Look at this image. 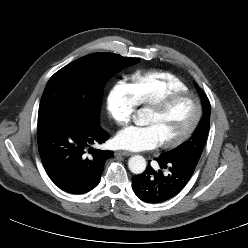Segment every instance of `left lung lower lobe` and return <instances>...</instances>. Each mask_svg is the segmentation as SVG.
Returning a JSON list of instances; mask_svg holds the SVG:
<instances>
[{
  "mask_svg": "<svg viewBox=\"0 0 248 248\" xmlns=\"http://www.w3.org/2000/svg\"><path fill=\"white\" fill-rule=\"evenodd\" d=\"M161 169L156 172L149 164L146 170L132 177V188L136 196L146 203H161L176 196L190 180L196 165L195 159L155 158Z\"/></svg>",
  "mask_w": 248,
  "mask_h": 248,
  "instance_id": "1",
  "label": "left lung lower lobe"
}]
</instances>
